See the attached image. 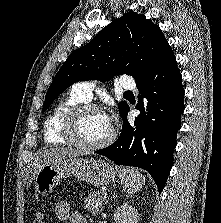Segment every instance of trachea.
<instances>
[{"mask_svg":"<svg viewBox=\"0 0 221 223\" xmlns=\"http://www.w3.org/2000/svg\"><path fill=\"white\" fill-rule=\"evenodd\" d=\"M124 94H125V95H130V94H132V92H131V91H125Z\"/></svg>","mask_w":221,"mask_h":223,"instance_id":"1","label":"trachea"}]
</instances>
